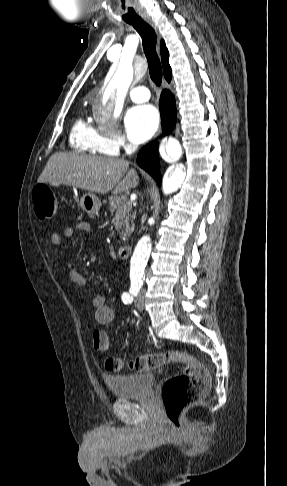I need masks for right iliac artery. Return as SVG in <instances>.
Listing matches in <instances>:
<instances>
[{"instance_id":"1","label":"right iliac artery","mask_w":287,"mask_h":486,"mask_svg":"<svg viewBox=\"0 0 287 486\" xmlns=\"http://www.w3.org/2000/svg\"><path fill=\"white\" fill-rule=\"evenodd\" d=\"M129 293H130V294H129ZM129 293H124V294L122 295V298H125V297H128V296H136V295H137V293H138V289H137V288L132 287V288L130 289Z\"/></svg>"}]
</instances>
